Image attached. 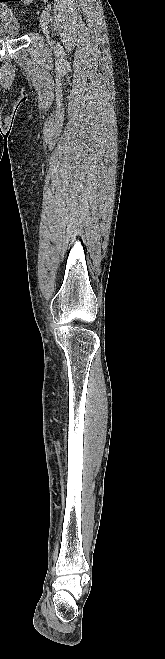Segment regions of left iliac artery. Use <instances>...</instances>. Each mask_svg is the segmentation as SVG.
Returning <instances> with one entry per match:
<instances>
[{
	"mask_svg": "<svg viewBox=\"0 0 165 659\" xmlns=\"http://www.w3.org/2000/svg\"><path fill=\"white\" fill-rule=\"evenodd\" d=\"M42 16H43L46 20L51 21L50 13H49L47 10H44V11L42 12Z\"/></svg>",
	"mask_w": 165,
	"mask_h": 659,
	"instance_id": "44dca946",
	"label": "left iliac artery"
}]
</instances>
